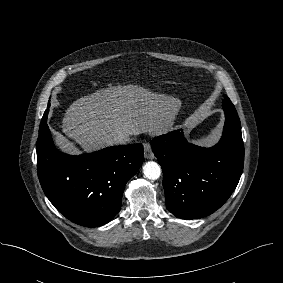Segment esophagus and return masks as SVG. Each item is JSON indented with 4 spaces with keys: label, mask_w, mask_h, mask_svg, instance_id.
<instances>
[{
    "label": "esophagus",
    "mask_w": 283,
    "mask_h": 283,
    "mask_svg": "<svg viewBox=\"0 0 283 283\" xmlns=\"http://www.w3.org/2000/svg\"><path fill=\"white\" fill-rule=\"evenodd\" d=\"M143 147H144V157L146 159H153L154 158V154L152 152L150 143L149 142H144L143 143Z\"/></svg>",
    "instance_id": "esophagus-1"
}]
</instances>
